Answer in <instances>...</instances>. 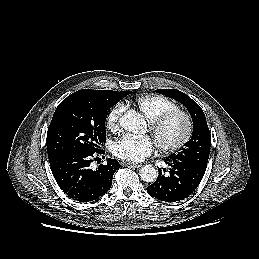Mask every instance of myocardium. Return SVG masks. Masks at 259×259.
Wrapping results in <instances>:
<instances>
[{
  "mask_svg": "<svg viewBox=\"0 0 259 259\" xmlns=\"http://www.w3.org/2000/svg\"><path fill=\"white\" fill-rule=\"evenodd\" d=\"M174 118L182 119L184 123V131L181 137L171 144H164L159 138V132L162 127L168 123L170 120ZM149 131L153 136L157 147L163 153H174L180 149H182L191 139L193 134V121L191 116L184 110L179 108L168 110L166 112L161 113L152 119L149 123Z\"/></svg>",
  "mask_w": 259,
  "mask_h": 259,
  "instance_id": "1",
  "label": "myocardium"
}]
</instances>
